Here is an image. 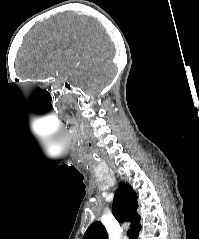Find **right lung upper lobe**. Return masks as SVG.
Wrapping results in <instances>:
<instances>
[{"instance_id": "cb5924a9", "label": "right lung upper lobe", "mask_w": 199, "mask_h": 239, "mask_svg": "<svg viewBox=\"0 0 199 239\" xmlns=\"http://www.w3.org/2000/svg\"><path fill=\"white\" fill-rule=\"evenodd\" d=\"M137 207V194L127 182H121L112 204L114 216L117 220L130 221V227L135 230L140 225L141 219L136 214ZM83 239H108V235L101 222H94L87 229Z\"/></svg>"}]
</instances>
